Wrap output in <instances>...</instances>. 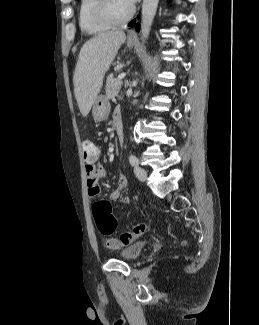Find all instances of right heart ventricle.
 Masks as SVG:
<instances>
[{"label": "right heart ventricle", "instance_id": "e07e8e85", "mask_svg": "<svg viewBox=\"0 0 259 325\" xmlns=\"http://www.w3.org/2000/svg\"><path fill=\"white\" fill-rule=\"evenodd\" d=\"M95 0H80L78 6V23L82 32L87 35H97L110 28L93 17Z\"/></svg>", "mask_w": 259, "mask_h": 325}]
</instances>
